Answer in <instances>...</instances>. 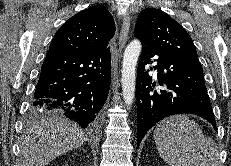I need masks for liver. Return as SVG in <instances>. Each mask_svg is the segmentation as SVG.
<instances>
[{
	"mask_svg": "<svg viewBox=\"0 0 231 166\" xmlns=\"http://www.w3.org/2000/svg\"><path fill=\"white\" fill-rule=\"evenodd\" d=\"M86 141L84 131L62 115L41 119L25 129L22 135V166H46Z\"/></svg>",
	"mask_w": 231,
	"mask_h": 166,
	"instance_id": "liver-1",
	"label": "liver"
}]
</instances>
